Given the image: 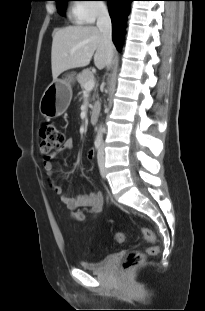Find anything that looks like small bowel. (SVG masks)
<instances>
[{
	"label": "small bowel",
	"mask_w": 205,
	"mask_h": 311,
	"mask_svg": "<svg viewBox=\"0 0 205 311\" xmlns=\"http://www.w3.org/2000/svg\"><path fill=\"white\" fill-rule=\"evenodd\" d=\"M74 141L72 138H68L62 145V149H71ZM96 152L90 149L87 152V159L94 160ZM44 171L47 177L48 184L52 191L59 196L61 202L70 209V217L75 221H84L86 213H89L92 217L97 216L103 208V196L101 193H90L88 195H81L77 197L69 196L63 189V187L57 183L53 178L54 166L50 159H46L43 162Z\"/></svg>",
	"instance_id": "small-bowel-1"
}]
</instances>
